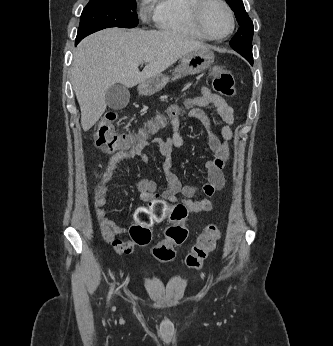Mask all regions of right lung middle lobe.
Here are the masks:
<instances>
[{"label":"right lung middle lobe","mask_w":333,"mask_h":346,"mask_svg":"<svg viewBox=\"0 0 333 346\" xmlns=\"http://www.w3.org/2000/svg\"><path fill=\"white\" fill-rule=\"evenodd\" d=\"M137 24L135 0H90L81 14L75 42L104 28H133Z\"/></svg>","instance_id":"right-lung-middle-lobe-1"}]
</instances>
